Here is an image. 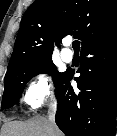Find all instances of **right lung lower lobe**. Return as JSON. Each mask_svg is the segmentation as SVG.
I'll return each mask as SVG.
<instances>
[{
  "label": "right lung lower lobe",
  "instance_id": "98d812e1",
  "mask_svg": "<svg viewBox=\"0 0 117 136\" xmlns=\"http://www.w3.org/2000/svg\"><path fill=\"white\" fill-rule=\"evenodd\" d=\"M81 75L66 71L55 85L56 124L66 136H114L117 116V26L81 48Z\"/></svg>",
  "mask_w": 117,
  "mask_h": 136
}]
</instances>
